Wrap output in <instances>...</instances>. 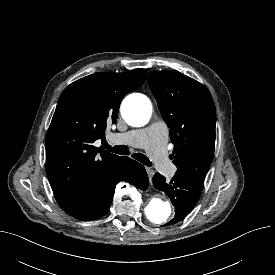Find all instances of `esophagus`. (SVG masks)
Listing matches in <instances>:
<instances>
[{
  "label": "esophagus",
  "mask_w": 275,
  "mask_h": 275,
  "mask_svg": "<svg viewBox=\"0 0 275 275\" xmlns=\"http://www.w3.org/2000/svg\"><path fill=\"white\" fill-rule=\"evenodd\" d=\"M146 172H147V174L149 176V179L151 180L152 177H153V175H154V171L151 168L146 167Z\"/></svg>",
  "instance_id": "esophagus-1"
}]
</instances>
